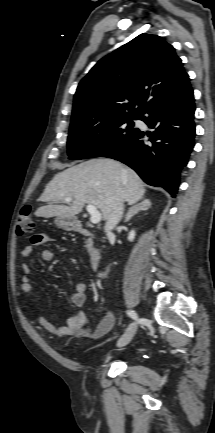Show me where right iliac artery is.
I'll list each match as a JSON object with an SVG mask.
<instances>
[{
    "instance_id": "82829eb1",
    "label": "right iliac artery",
    "mask_w": 215,
    "mask_h": 433,
    "mask_svg": "<svg viewBox=\"0 0 215 433\" xmlns=\"http://www.w3.org/2000/svg\"><path fill=\"white\" fill-rule=\"evenodd\" d=\"M127 315L128 316H130L132 319H137V314L135 313V311H133V310H128L127 312Z\"/></svg>"
}]
</instances>
